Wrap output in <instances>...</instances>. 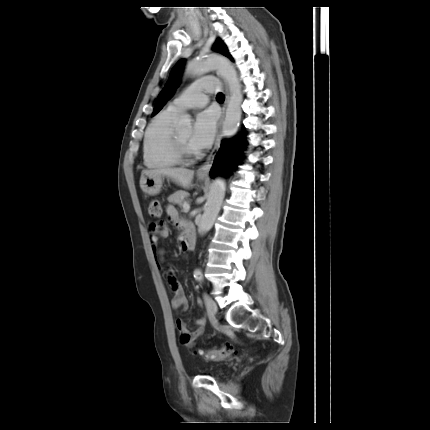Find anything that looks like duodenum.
Returning a JSON list of instances; mask_svg holds the SVG:
<instances>
[{
  "mask_svg": "<svg viewBox=\"0 0 430 430\" xmlns=\"http://www.w3.org/2000/svg\"><path fill=\"white\" fill-rule=\"evenodd\" d=\"M183 248L188 251L194 248V236L191 232L186 233Z\"/></svg>",
  "mask_w": 430,
  "mask_h": 430,
  "instance_id": "1",
  "label": "duodenum"
}]
</instances>
